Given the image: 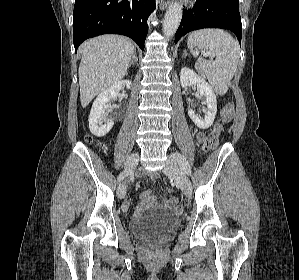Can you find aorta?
<instances>
[{
    "instance_id": "1",
    "label": "aorta",
    "mask_w": 299,
    "mask_h": 280,
    "mask_svg": "<svg viewBox=\"0 0 299 280\" xmlns=\"http://www.w3.org/2000/svg\"><path fill=\"white\" fill-rule=\"evenodd\" d=\"M182 19V6L179 3H171L165 13L163 20V33L166 37H172Z\"/></svg>"
}]
</instances>
